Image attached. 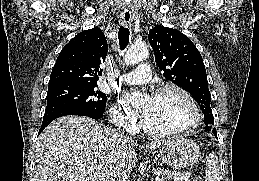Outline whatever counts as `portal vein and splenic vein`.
<instances>
[{"mask_svg": "<svg viewBox=\"0 0 259 181\" xmlns=\"http://www.w3.org/2000/svg\"><path fill=\"white\" fill-rule=\"evenodd\" d=\"M94 171L93 170H90V174H93ZM156 181H165V178H156Z\"/></svg>", "mask_w": 259, "mask_h": 181, "instance_id": "portal-vein-and-splenic-vein-1", "label": "portal vein and splenic vein"}]
</instances>
